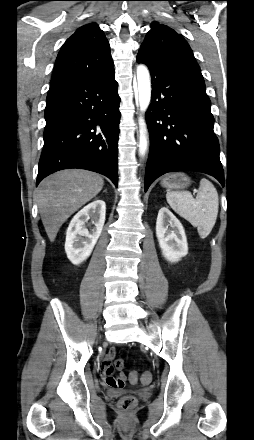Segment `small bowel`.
<instances>
[{
  "label": "small bowel",
  "instance_id": "small-bowel-1",
  "mask_svg": "<svg viewBox=\"0 0 254 440\" xmlns=\"http://www.w3.org/2000/svg\"><path fill=\"white\" fill-rule=\"evenodd\" d=\"M116 355V351L114 349L110 350L108 354L104 357L101 363V371L100 376L103 378L105 383L113 388H116L113 385V382L116 380L113 374L112 361Z\"/></svg>",
  "mask_w": 254,
  "mask_h": 440
}]
</instances>
